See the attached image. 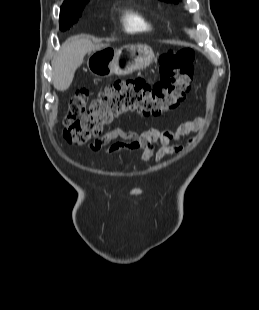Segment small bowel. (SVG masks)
I'll return each instance as SVG.
<instances>
[{"label":"small bowel","instance_id":"1","mask_svg":"<svg viewBox=\"0 0 259 310\" xmlns=\"http://www.w3.org/2000/svg\"><path fill=\"white\" fill-rule=\"evenodd\" d=\"M205 124V120L198 117L181 122L175 129L150 128L138 136L118 127L91 143L89 149L92 152L105 155H113L121 150L136 151L140 153L139 160L141 162L149 161L152 158L161 162L166 155L183 149V146H173L176 141L185 135L203 129ZM117 138L122 141L110 145V142ZM155 143L160 144L157 150H155Z\"/></svg>","mask_w":259,"mask_h":310}]
</instances>
